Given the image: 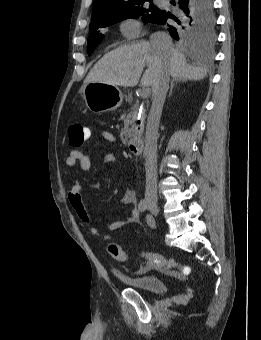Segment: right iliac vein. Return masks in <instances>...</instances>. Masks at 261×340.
Instances as JSON below:
<instances>
[{
  "label": "right iliac vein",
  "instance_id": "right-iliac-vein-1",
  "mask_svg": "<svg viewBox=\"0 0 261 340\" xmlns=\"http://www.w3.org/2000/svg\"><path fill=\"white\" fill-rule=\"evenodd\" d=\"M147 205L152 212H155V213L159 212V208H158L156 202H154L152 200H147Z\"/></svg>",
  "mask_w": 261,
  "mask_h": 340
}]
</instances>
